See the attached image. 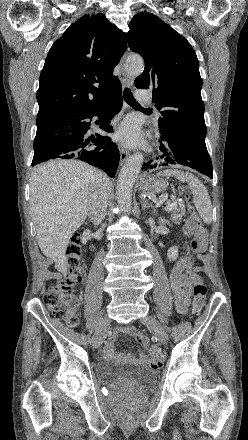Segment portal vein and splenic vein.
<instances>
[{
    "mask_svg": "<svg viewBox=\"0 0 248 440\" xmlns=\"http://www.w3.org/2000/svg\"><path fill=\"white\" fill-rule=\"evenodd\" d=\"M156 206L158 207L159 205L157 204ZM173 206H177L176 201H173L172 203H170V202L167 203V206L165 207V210H166V211H169V210L172 209Z\"/></svg>",
    "mask_w": 248,
    "mask_h": 440,
    "instance_id": "portal-vein-and-splenic-vein-1",
    "label": "portal vein and splenic vein"
}]
</instances>
